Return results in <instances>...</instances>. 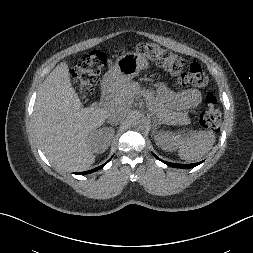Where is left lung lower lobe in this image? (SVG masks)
Here are the masks:
<instances>
[{
	"mask_svg": "<svg viewBox=\"0 0 253 253\" xmlns=\"http://www.w3.org/2000/svg\"><path fill=\"white\" fill-rule=\"evenodd\" d=\"M154 155V154H153ZM156 158H158L156 155H154ZM159 159V158H158ZM161 160V159H159ZM162 161V160H161ZM164 162L165 164H167L168 166H171V167H175V168H193L197 165H199L200 163H202L203 161L201 162H198V163H193V164H175V163H169V162H166V161H162Z\"/></svg>",
	"mask_w": 253,
	"mask_h": 253,
	"instance_id": "obj_1",
	"label": "left lung lower lobe"
}]
</instances>
